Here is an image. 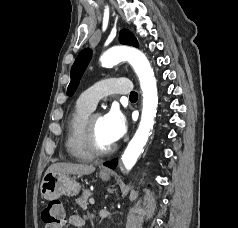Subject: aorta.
Segmentation results:
<instances>
[{
    "label": "aorta",
    "instance_id": "obj_1",
    "mask_svg": "<svg viewBox=\"0 0 238 228\" xmlns=\"http://www.w3.org/2000/svg\"><path fill=\"white\" fill-rule=\"evenodd\" d=\"M122 61H127L134 69L139 78L143 96L139 126L121 157L124 167L131 170L152 133L157 113L158 92L153 69L147 57L140 50L133 47L117 46L108 49L100 57L103 67H112Z\"/></svg>",
    "mask_w": 238,
    "mask_h": 228
}]
</instances>
